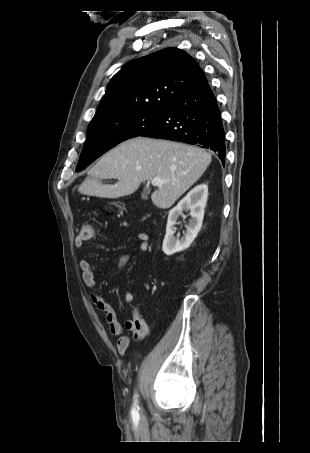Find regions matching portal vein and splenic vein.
<instances>
[{"instance_id":"obj_1","label":"portal vein and splenic vein","mask_w":310,"mask_h":453,"mask_svg":"<svg viewBox=\"0 0 310 453\" xmlns=\"http://www.w3.org/2000/svg\"><path fill=\"white\" fill-rule=\"evenodd\" d=\"M168 182L167 180L161 179L159 177H155L151 180V184L153 186H161L162 184Z\"/></svg>"}]
</instances>
